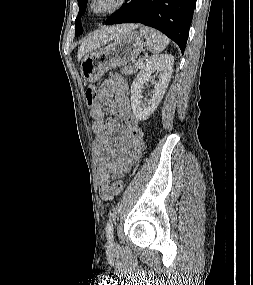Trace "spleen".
I'll use <instances>...</instances> for the list:
<instances>
[{
	"label": "spleen",
	"instance_id": "obj_1",
	"mask_svg": "<svg viewBox=\"0 0 253 285\" xmlns=\"http://www.w3.org/2000/svg\"><path fill=\"white\" fill-rule=\"evenodd\" d=\"M140 34L146 39L147 49L152 53H160L169 44V39L153 28L141 27Z\"/></svg>",
	"mask_w": 253,
	"mask_h": 285
}]
</instances>
